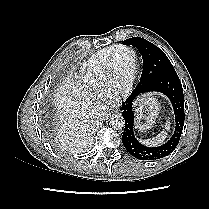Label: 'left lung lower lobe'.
<instances>
[{
    "label": "left lung lower lobe",
    "instance_id": "left-lung-lower-lobe-1",
    "mask_svg": "<svg viewBox=\"0 0 209 209\" xmlns=\"http://www.w3.org/2000/svg\"><path fill=\"white\" fill-rule=\"evenodd\" d=\"M153 91L164 94L171 101L175 115V130L165 144L158 147H147L141 144L134 134L133 102L139 95ZM122 110L125 120L122 143L133 157L140 160H156L166 157L174 151L180 140L185 119L183 89L176 72L162 75L148 85H138L128 99L122 103Z\"/></svg>",
    "mask_w": 209,
    "mask_h": 209
}]
</instances>
